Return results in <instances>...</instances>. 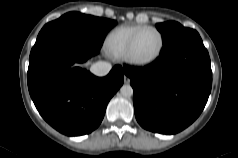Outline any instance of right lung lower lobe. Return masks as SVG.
I'll return each instance as SVG.
<instances>
[{"label":"right lung lower lobe","instance_id":"98d812e1","mask_svg":"<svg viewBox=\"0 0 238 158\" xmlns=\"http://www.w3.org/2000/svg\"><path fill=\"white\" fill-rule=\"evenodd\" d=\"M97 48L69 32H49L37 38L28 67V89L40 115L68 136L84 135L101 123L108 102L124 82L116 65L96 77L73 63L98 54Z\"/></svg>","mask_w":238,"mask_h":158}]
</instances>
